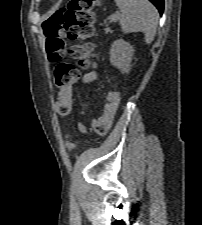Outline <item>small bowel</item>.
Masks as SVG:
<instances>
[{
    "instance_id": "c3829d8e",
    "label": "small bowel",
    "mask_w": 202,
    "mask_h": 225,
    "mask_svg": "<svg viewBox=\"0 0 202 225\" xmlns=\"http://www.w3.org/2000/svg\"><path fill=\"white\" fill-rule=\"evenodd\" d=\"M96 79H97V74L94 71H91V72L84 74L82 81L84 83H91V82L95 81ZM84 129H85L84 125L79 124V130L84 131Z\"/></svg>"
}]
</instances>
